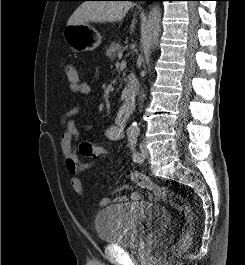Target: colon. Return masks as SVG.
<instances>
[{
    "mask_svg": "<svg viewBox=\"0 0 245 265\" xmlns=\"http://www.w3.org/2000/svg\"><path fill=\"white\" fill-rule=\"evenodd\" d=\"M65 75L70 88L76 91L80 84V76L78 70L71 64L65 67ZM79 153L85 158L100 159L107 156L108 152L101 146H97L91 142H82L79 146ZM131 180L142 188H146L156 193L161 199L167 202L177 211L184 214L186 218V229L180 241L172 247V253H180L185 251L193 239V211L186 199L179 193L171 191L167 186H160L151 181L147 176L139 172H130Z\"/></svg>",
    "mask_w": 245,
    "mask_h": 265,
    "instance_id": "5ec220e1",
    "label": "colon"
}]
</instances>
